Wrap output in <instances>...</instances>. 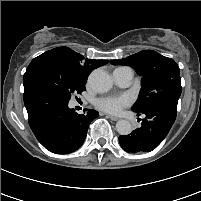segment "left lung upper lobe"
I'll use <instances>...</instances> for the list:
<instances>
[{"mask_svg": "<svg viewBox=\"0 0 201 201\" xmlns=\"http://www.w3.org/2000/svg\"><path fill=\"white\" fill-rule=\"evenodd\" d=\"M113 65H129L142 76V88L132 110L138 113L158 105L177 106L181 95L180 71L176 62L153 51L146 50L120 60Z\"/></svg>", "mask_w": 201, "mask_h": 201, "instance_id": "left-lung-upper-lobe-1", "label": "left lung upper lobe"}]
</instances>
